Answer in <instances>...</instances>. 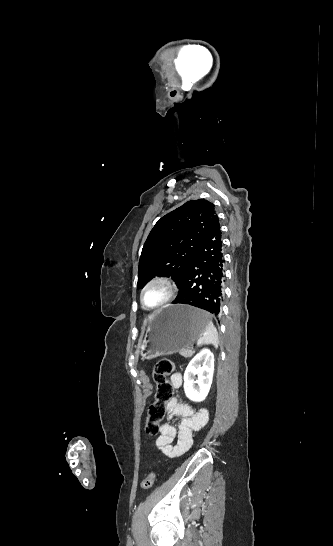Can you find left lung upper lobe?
Instances as JSON below:
<instances>
[{
    "instance_id": "left-lung-upper-lobe-1",
    "label": "left lung upper lobe",
    "mask_w": 333,
    "mask_h": 546,
    "mask_svg": "<svg viewBox=\"0 0 333 546\" xmlns=\"http://www.w3.org/2000/svg\"><path fill=\"white\" fill-rule=\"evenodd\" d=\"M217 218L207 200H191L162 217L142 249L138 288L156 275L171 276L178 286L194 260L196 248Z\"/></svg>"
}]
</instances>
